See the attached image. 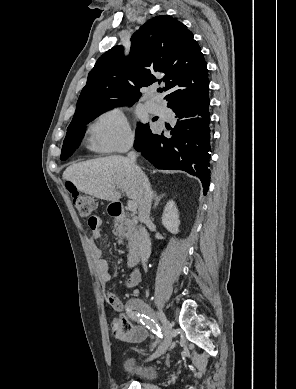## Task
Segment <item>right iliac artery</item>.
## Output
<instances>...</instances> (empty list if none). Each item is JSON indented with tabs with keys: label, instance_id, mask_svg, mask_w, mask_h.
<instances>
[{
	"label": "right iliac artery",
	"instance_id": "82829eb1",
	"mask_svg": "<svg viewBox=\"0 0 296 389\" xmlns=\"http://www.w3.org/2000/svg\"><path fill=\"white\" fill-rule=\"evenodd\" d=\"M127 311L131 318L134 320H139L154 334L162 338L160 327L153 319L148 316V314L151 313V309L148 307V305L140 300H133L130 302Z\"/></svg>",
	"mask_w": 296,
	"mask_h": 389
}]
</instances>
